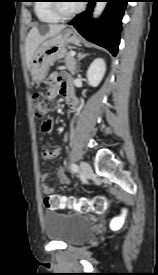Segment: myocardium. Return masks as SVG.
<instances>
[{
    "mask_svg": "<svg viewBox=\"0 0 158 275\" xmlns=\"http://www.w3.org/2000/svg\"><path fill=\"white\" fill-rule=\"evenodd\" d=\"M52 2H59V1H52ZM51 8L53 10V12L62 19H68L71 17H74L75 15H77L78 13H80L83 10V5H79L77 8H75L72 11L66 12L63 9V6L61 3H51Z\"/></svg>",
    "mask_w": 158,
    "mask_h": 275,
    "instance_id": "myocardium-1",
    "label": "myocardium"
}]
</instances>
